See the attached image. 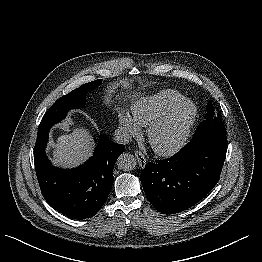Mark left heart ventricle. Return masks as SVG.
<instances>
[{"label": "left heart ventricle", "instance_id": "left-heart-ventricle-1", "mask_svg": "<svg viewBox=\"0 0 262 262\" xmlns=\"http://www.w3.org/2000/svg\"><path fill=\"white\" fill-rule=\"evenodd\" d=\"M192 111V107L190 105L182 108L172 120L164 126L155 136V140L157 145L161 147H166L172 144L180 129L185 124L188 116Z\"/></svg>", "mask_w": 262, "mask_h": 262}]
</instances>
